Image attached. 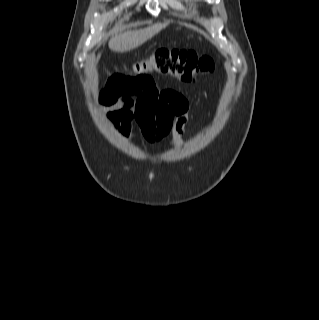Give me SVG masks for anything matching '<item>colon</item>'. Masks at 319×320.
Listing matches in <instances>:
<instances>
[{"mask_svg": "<svg viewBox=\"0 0 319 320\" xmlns=\"http://www.w3.org/2000/svg\"><path fill=\"white\" fill-rule=\"evenodd\" d=\"M213 69V62L206 56H198L193 51L160 48L150 56L131 65L130 74H116L109 80L110 86L120 89L138 84L152 74L173 76L184 82H193L203 73ZM136 121L139 132L144 140L158 142L171 131V127L160 123L151 113H135L131 121ZM130 121V123H131ZM130 129V124L128 126Z\"/></svg>", "mask_w": 319, "mask_h": 320, "instance_id": "colon-1", "label": "colon"}]
</instances>
